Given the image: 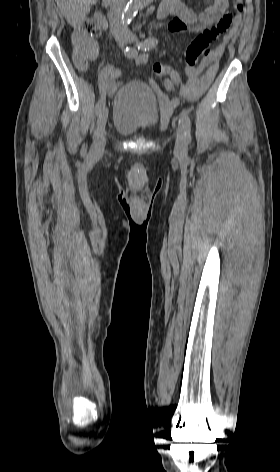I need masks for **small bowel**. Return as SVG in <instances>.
Wrapping results in <instances>:
<instances>
[{
    "instance_id": "1",
    "label": "small bowel",
    "mask_w": 280,
    "mask_h": 472,
    "mask_svg": "<svg viewBox=\"0 0 280 472\" xmlns=\"http://www.w3.org/2000/svg\"><path fill=\"white\" fill-rule=\"evenodd\" d=\"M161 5L167 9L168 14L174 16L168 26L171 32L178 34L185 32L199 33L219 21L229 7V0H213L210 6L199 12L191 9L181 0H163ZM100 28L101 30L105 29V23L102 21L100 22ZM237 32L238 26L232 27L223 37V40L198 64H187L185 74L188 81L182 87L176 88L170 78L166 79L164 82L166 90L177 92L189 102L199 99L209 88L217 74L219 60L223 54L225 44L233 39ZM72 44L73 57L83 58L86 61V67L82 69H87L88 64L98 56L99 48L96 40L76 31L72 36ZM134 60L137 67H143L148 62V56L137 54ZM119 76V71L114 68L106 89L108 94H114L119 87ZM150 83L158 97L162 117L165 121H168L174 110L179 106L180 101L177 97L167 95L152 80H150Z\"/></svg>"
}]
</instances>
